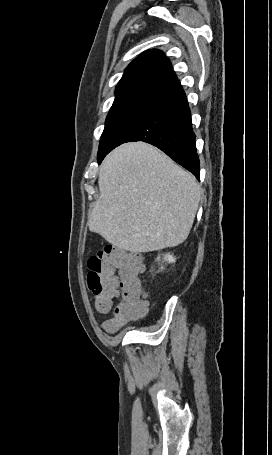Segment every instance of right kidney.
Listing matches in <instances>:
<instances>
[{
	"label": "right kidney",
	"instance_id": "ca27d5eb",
	"mask_svg": "<svg viewBox=\"0 0 272 455\" xmlns=\"http://www.w3.org/2000/svg\"><path fill=\"white\" fill-rule=\"evenodd\" d=\"M157 260L159 261L160 260V256L157 257ZM164 261L168 262V263H173L175 262V258L173 257V255L167 253L164 255ZM163 269V267H161Z\"/></svg>",
	"mask_w": 272,
	"mask_h": 455
}]
</instances>
